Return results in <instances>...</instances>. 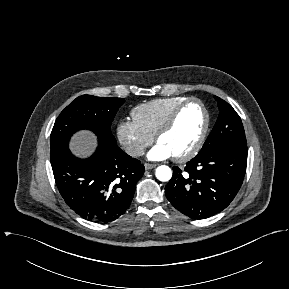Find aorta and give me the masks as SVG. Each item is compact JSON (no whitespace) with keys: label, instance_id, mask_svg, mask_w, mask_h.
<instances>
[{"label":"aorta","instance_id":"1","mask_svg":"<svg viewBox=\"0 0 289 289\" xmlns=\"http://www.w3.org/2000/svg\"><path fill=\"white\" fill-rule=\"evenodd\" d=\"M155 175L159 181L167 182L172 177V170L170 167H168L166 165H161V166L156 168Z\"/></svg>","mask_w":289,"mask_h":289}]
</instances>
